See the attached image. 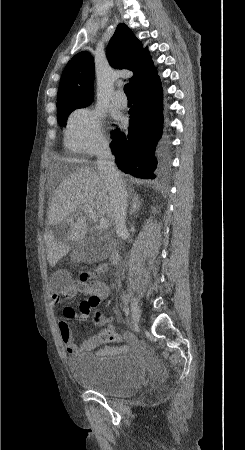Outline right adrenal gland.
<instances>
[{
  "label": "right adrenal gland",
  "instance_id": "obj_1",
  "mask_svg": "<svg viewBox=\"0 0 245 450\" xmlns=\"http://www.w3.org/2000/svg\"><path fill=\"white\" fill-rule=\"evenodd\" d=\"M129 198L131 199V201H130V206H131L130 215H133L134 212L141 207L142 202L139 199L140 198L139 195L136 194V193H132V191L129 192Z\"/></svg>",
  "mask_w": 245,
  "mask_h": 450
}]
</instances>
